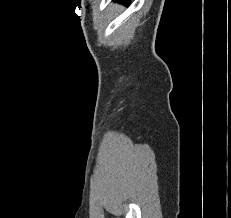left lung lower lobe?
I'll return each instance as SVG.
<instances>
[{
  "mask_svg": "<svg viewBox=\"0 0 231 218\" xmlns=\"http://www.w3.org/2000/svg\"><path fill=\"white\" fill-rule=\"evenodd\" d=\"M119 1H121V2H128L129 0H119Z\"/></svg>",
  "mask_w": 231,
  "mask_h": 218,
  "instance_id": "1",
  "label": "left lung lower lobe"
}]
</instances>
